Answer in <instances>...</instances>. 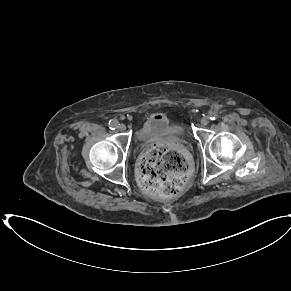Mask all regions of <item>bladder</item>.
<instances>
[{"label": "bladder", "mask_w": 291, "mask_h": 291, "mask_svg": "<svg viewBox=\"0 0 291 291\" xmlns=\"http://www.w3.org/2000/svg\"><path fill=\"white\" fill-rule=\"evenodd\" d=\"M184 126L180 123H173L171 119L164 115H152L145 119L137 130L140 139H151L162 136L180 137L184 133Z\"/></svg>", "instance_id": "obj_1"}]
</instances>
